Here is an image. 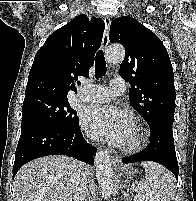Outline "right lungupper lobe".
<instances>
[{"mask_svg": "<svg viewBox=\"0 0 196 201\" xmlns=\"http://www.w3.org/2000/svg\"><path fill=\"white\" fill-rule=\"evenodd\" d=\"M105 24L100 18L92 23L82 14L52 33L37 51L25 99L36 96L67 98L80 84L79 76L88 77L94 54L101 45Z\"/></svg>", "mask_w": 196, "mask_h": 201, "instance_id": "cb5924a9", "label": "right lung upper lobe"}]
</instances>
